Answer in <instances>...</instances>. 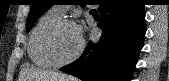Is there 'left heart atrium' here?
<instances>
[{"mask_svg":"<svg viewBox=\"0 0 169 81\" xmlns=\"http://www.w3.org/2000/svg\"><path fill=\"white\" fill-rule=\"evenodd\" d=\"M76 29H77L79 37L82 38V29H81V27H76Z\"/></svg>","mask_w":169,"mask_h":81,"instance_id":"39dd6f15","label":"left heart atrium"}]
</instances>
